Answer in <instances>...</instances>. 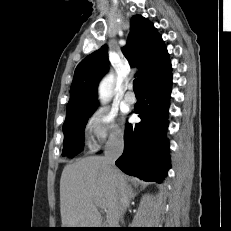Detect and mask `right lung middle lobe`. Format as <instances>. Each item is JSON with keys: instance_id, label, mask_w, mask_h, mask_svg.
I'll return each instance as SVG.
<instances>
[{"instance_id": "right-lung-middle-lobe-1", "label": "right lung middle lobe", "mask_w": 231, "mask_h": 231, "mask_svg": "<svg viewBox=\"0 0 231 231\" xmlns=\"http://www.w3.org/2000/svg\"><path fill=\"white\" fill-rule=\"evenodd\" d=\"M96 108L97 107L66 115L63 124V156L74 157L82 151L84 145V129L89 117Z\"/></svg>"}]
</instances>
